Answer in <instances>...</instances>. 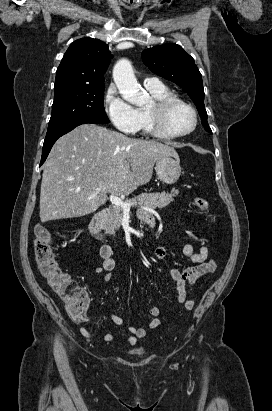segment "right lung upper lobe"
Masks as SVG:
<instances>
[{
	"instance_id": "cb5924a9",
	"label": "right lung upper lobe",
	"mask_w": 272,
	"mask_h": 411,
	"mask_svg": "<svg viewBox=\"0 0 272 411\" xmlns=\"http://www.w3.org/2000/svg\"><path fill=\"white\" fill-rule=\"evenodd\" d=\"M112 57L108 45L99 39L74 41L57 69L55 92L104 85L103 75Z\"/></svg>"
}]
</instances>
